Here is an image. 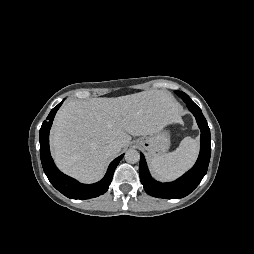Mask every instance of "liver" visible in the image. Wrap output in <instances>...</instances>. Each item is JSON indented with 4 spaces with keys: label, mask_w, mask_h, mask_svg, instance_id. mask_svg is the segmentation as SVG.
<instances>
[{
    "label": "liver",
    "mask_w": 254,
    "mask_h": 254,
    "mask_svg": "<svg viewBox=\"0 0 254 254\" xmlns=\"http://www.w3.org/2000/svg\"><path fill=\"white\" fill-rule=\"evenodd\" d=\"M178 122L179 105L164 90L69 101L60 108L53 123V156L63 172L81 182L93 183L105 173L111 157L106 153L109 144L126 147L131 135H153Z\"/></svg>",
    "instance_id": "obj_1"
}]
</instances>
